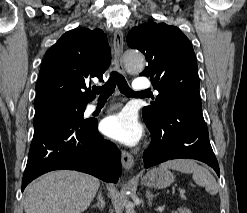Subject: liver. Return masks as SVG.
I'll list each match as a JSON object with an SVG mask.
<instances>
[{"instance_id": "liver-1", "label": "liver", "mask_w": 247, "mask_h": 213, "mask_svg": "<svg viewBox=\"0 0 247 213\" xmlns=\"http://www.w3.org/2000/svg\"><path fill=\"white\" fill-rule=\"evenodd\" d=\"M100 181L71 170L49 172L26 188L25 213H82L91 204Z\"/></svg>"}]
</instances>
